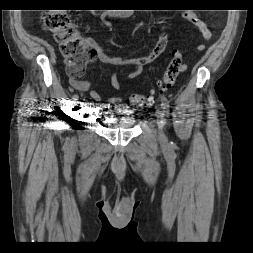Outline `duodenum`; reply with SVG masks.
<instances>
[{"label": "duodenum", "mask_w": 253, "mask_h": 253, "mask_svg": "<svg viewBox=\"0 0 253 253\" xmlns=\"http://www.w3.org/2000/svg\"><path fill=\"white\" fill-rule=\"evenodd\" d=\"M106 13L112 18H125L129 15L130 12L123 9H118L117 11H107Z\"/></svg>", "instance_id": "obj_1"}]
</instances>
